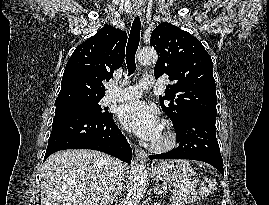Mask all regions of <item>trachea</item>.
<instances>
[{"label":"trachea","mask_w":269,"mask_h":205,"mask_svg":"<svg viewBox=\"0 0 269 205\" xmlns=\"http://www.w3.org/2000/svg\"><path fill=\"white\" fill-rule=\"evenodd\" d=\"M140 30V18L136 17L133 21L126 47V63L128 68V76L132 75L136 70L135 54L140 42Z\"/></svg>","instance_id":"3493384b"}]
</instances>
